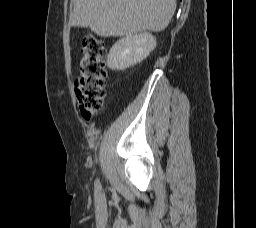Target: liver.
<instances>
[{"instance_id":"obj_1","label":"liver","mask_w":256,"mask_h":228,"mask_svg":"<svg viewBox=\"0 0 256 228\" xmlns=\"http://www.w3.org/2000/svg\"><path fill=\"white\" fill-rule=\"evenodd\" d=\"M69 23L101 37L160 32L169 24L176 0H72Z\"/></svg>"}]
</instances>
